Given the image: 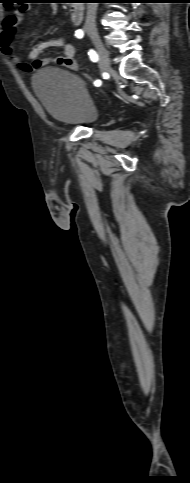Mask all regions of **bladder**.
I'll list each match as a JSON object with an SVG mask.
<instances>
[{"instance_id":"bladder-1","label":"bladder","mask_w":190,"mask_h":483,"mask_svg":"<svg viewBox=\"0 0 190 483\" xmlns=\"http://www.w3.org/2000/svg\"><path fill=\"white\" fill-rule=\"evenodd\" d=\"M35 95L49 114L65 123L90 125L99 117V110L88 88L72 71L45 67L32 79Z\"/></svg>"}]
</instances>
